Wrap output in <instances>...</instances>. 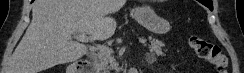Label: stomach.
<instances>
[{
	"label": "stomach",
	"instance_id": "0dacf381",
	"mask_svg": "<svg viewBox=\"0 0 244 73\" xmlns=\"http://www.w3.org/2000/svg\"><path fill=\"white\" fill-rule=\"evenodd\" d=\"M130 14L140 25L152 33L162 35L171 29L169 21L159 16L147 5L132 9Z\"/></svg>",
	"mask_w": 244,
	"mask_h": 73
}]
</instances>
